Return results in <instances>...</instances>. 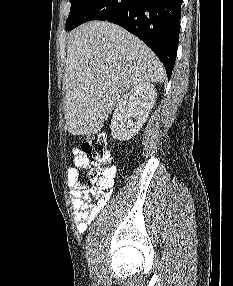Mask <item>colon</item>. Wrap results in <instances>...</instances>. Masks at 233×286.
<instances>
[{
  "label": "colon",
  "instance_id": "5ec220e1",
  "mask_svg": "<svg viewBox=\"0 0 233 286\" xmlns=\"http://www.w3.org/2000/svg\"><path fill=\"white\" fill-rule=\"evenodd\" d=\"M82 151L88 158L101 165L89 172L86 185L100 191L110 188L115 175L112 166L108 165L111 155L107 148L105 135L98 132L87 136L82 142Z\"/></svg>",
  "mask_w": 233,
  "mask_h": 286
}]
</instances>
